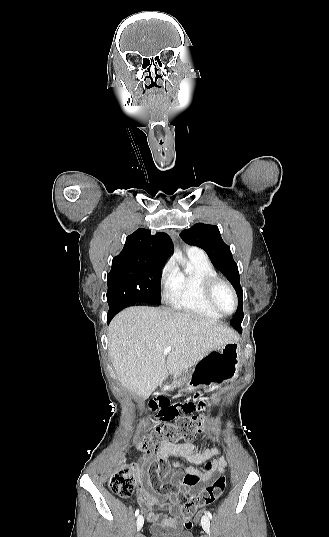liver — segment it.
<instances>
[{"instance_id": "1", "label": "liver", "mask_w": 329, "mask_h": 537, "mask_svg": "<svg viewBox=\"0 0 329 537\" xmlns=\"http://www.w3.org/2000/svg\"><path fill=\"white\" fill-rule=\"evenodd\" d=\"M231 340H238L234 330L215 320L147 306L123 310L108 329L109 355L118 380L144 399L168 373L179 375Z\"/></svg>"}]
</instances>
